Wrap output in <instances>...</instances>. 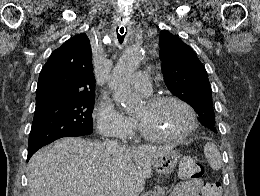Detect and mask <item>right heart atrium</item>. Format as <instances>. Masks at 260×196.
Masks as SVG:
<instances>
[{"instance_id": "right-heart-atrium-1", "label": "right heart atrium", "mask_w": 260, "mask_h": 196, "mask_svg": "<svg viewBox=\"0 0 260 196\" xmlns=\"http://www.w3.org/2000/svg\"><path fill=\"white\" fill-rule=\"evenodd\" d=\"M95 118L99 131L111 135L118 130H131L135 128L134 120L124 114L110 99L104 100L95 111ZM111 143V142H94Z\"/></svg>"}]
</instances>
